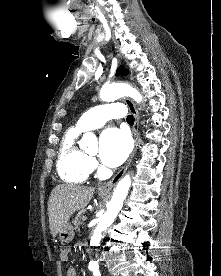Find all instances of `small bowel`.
<instances>
[{"mask_svg":"<svg viewBox=\"0 0 221 276\" xmlns=\"http://www.w3.org/2000/svg\"><path fill=\"white\" fill-rule=\"evenodd\" d=\"M70 255V251L66 250L62 254H60V257L63 261H67ZM65 276H77V271L74 267H69L66 272Z\"/></svg>","mask_w":221,"mask_h":276,"instance_id":"c3829d8e","label":"small bowel"}]
</instances>
